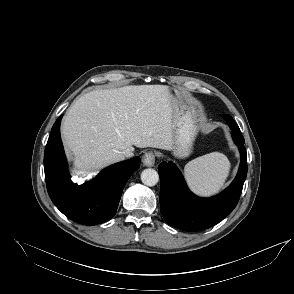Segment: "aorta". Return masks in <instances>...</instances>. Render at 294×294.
Segmentation results:
<instances>
[{"mask_svg":"<svg viewBox=\"0 0 294 294\" xmlns=\"http://www.w3.org/2000/svg\"><path fill=\"white\" fill-rule=\"evenodd\" d=\"M141 181L147 186H154L159 181L158 172L154 169H144L141 173Z\"/></svg>","mask_w":294,"mask_h":294,"instance_id":"1","label":"aorta"}]
</instances>
